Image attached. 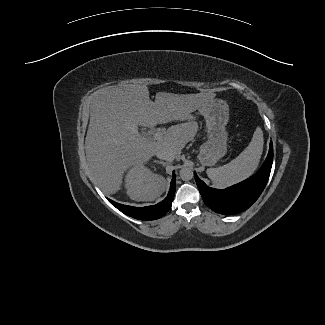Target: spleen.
<instances>
[{
	"label": "spleen",
	"mask_w": 325,
	"mask_h": 325,
	"mask_svg": "<svg viewBox=\"0 0 325 325\" xmlns=\"http://www.w3.org/2000/svg\"><path fill=\"white\" fill-rule=\"evenodd\" d=\"M263 144V132L260 127H257L249 145L228 164L207 169L208 177L220 187L230 186L246 179L258 167Z\"/></svg>",
	"instance_id": "spleen-1"
}]
</instances>
